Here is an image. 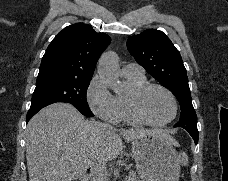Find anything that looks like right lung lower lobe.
I'll use <instances>...</instances> for the list:
<instances>
[{
	"instance_id": "1",
	"label": "right lung lower lobe",
	"mask_w": 228,
	"mask_h": 181,
	"mask_svg": "<svg viewBox=\"0 0 228 181\" xmlns=\"http://www.w3.org/2000/svg\"><path fill=\"white\" fill-rule=\"evenodd\" d=\"M41 108L38 109H30L27 113V121L32 118Z\"/></svg>"
}]
</instances>
